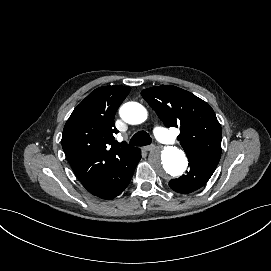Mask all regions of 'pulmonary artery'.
<instances>
[{
  "instance_id": "obj_1",
  "label": "pulmonary artery",
  "mask_w": 271,
  "mask_h": 271,
  "mask_svg": "<svg viewBox=\"0 0 271 271\" xmlns=\"http://www.w3.org/2000/svg\"><path fill=\"white\" fill-rule=\"evenodd\" d=\"M154 134L162 143L172 144L174 142V137L172 135H167L164 127H156L154 129Z\"/></svg>"
}]
</instances>
